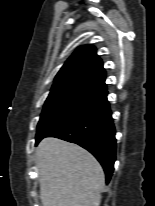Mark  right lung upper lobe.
Returning <instances> with one entry per match:
<instances>
[{
    "label": "right lung upper lobe",
    "mask_w": 155,
    "mask_h": 206,
    "mask_svg": "<svg viewBox=\"0 0 155 206\" xmlns=\"http://www.w3.org/2000/svg\"><path fill=\"white\" fill-rule=\"evenodd\" d=\"M102 60L92 45L79 47L55 77L51 90L85 87L107 94Z\"/></svg>",
    "instance_id": "obj_1"
}]
</instances>
